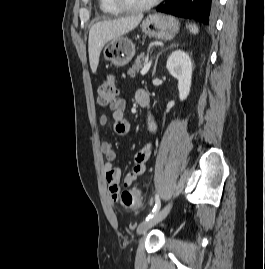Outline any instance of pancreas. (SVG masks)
Listing matches in <instances>:
<instances>
[{"instance_id": "cf45deb5", "label": "pancreas", "mask_w": 265, "mask_h": 269, "mask_svg": "<svg viewBox=\"0 0 265 269\" xmlns=\"http://www.w3.org/2000/svg\"><path fill=\"white\" fill-rule=\"evenodd\" d=\"M143 54L139 55L132 67L128 70V75L133 76L136 72H138L144 65Z\"/></svg>"}]
</instances>
